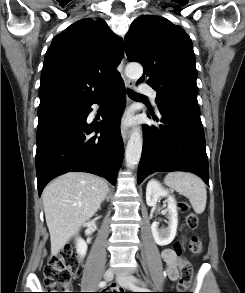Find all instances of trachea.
<instances>
[{
	"label": "trachea",
	"instance_id": "trachea-1",
	"mask_svg": "<svg viewBox=\"0 0 245 293\" xmlns=\"http://www.w3.org/2000/svg\"><path fill=\"white\" fill-rule=\"evenodd\" d=\"M127 93H128V96L130 98H135V97H145L144 95H141L139 93H136L135 91L131 90V89H128L127 90Z\"/></svg>",
	"mask_w": 245,
	"mask_h": 293
}]
</instances>
